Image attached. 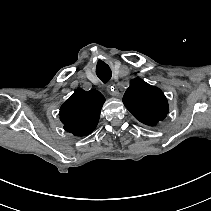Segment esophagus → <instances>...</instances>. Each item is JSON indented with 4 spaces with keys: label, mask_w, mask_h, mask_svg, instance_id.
<instances>
[{
    "label": "esophagus",
    "mask_w": 211,
    "mask_h": 211,
    "mask_svg": "<svg viewBox=\"0 0 211 211\" xmlns=\"http://www.w3.org/2000/svg\"><path fill=\"white\" fill-rule=\"evenodd\" d=\"M107 92L110 95L115 96V97H118L120 95V92L116 87H114L113 90H112L110 86H107Z\"/></svg>",
    "instance_id": "1"
}]
</instances>
